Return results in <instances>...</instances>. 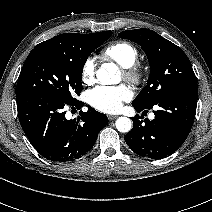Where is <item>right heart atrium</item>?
<instances>
[{
  "label": "right heart atrium",
  "mask_w": 212,
  "mask_h": 212,
  "mask_svg": "<svg viewBox=\"0 0 212 212\" xmlns=\"http://www.w3.org/2000/svg\"><path fill=\"white\" fill-rule=\"evenodd\" d=\"M96 63L94 59L88 58L83 63L81 77L85 84L91 85L95 81Z\"/></svg>",
  "instance_id": "1"
}]
</instances>
